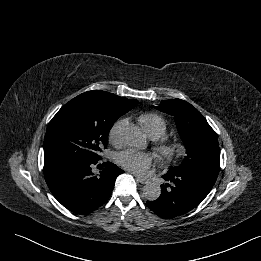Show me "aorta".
I'll return each instance as SVG.
<instances>
[{
	"mask_svg": "<svg viewBox=\"0 0 261 261\" xmlns=\"http://www.w3.org/2000/svg\"><path fill=\"white\" fill-rule=\"evenodd\" d=\"M122 138L127 145L134 149H141L146 143V138L141 129L133 124L124 128ZM143 194L146 199L154 201L159 198L161 188L157 184L148 183L143 187Z\"/></svg>",
	"mask_w": 261,
	"mask_h": 261,
	"instance_id": "762f6f07",
	"label": "aorta"
}]
</instances>
